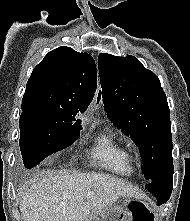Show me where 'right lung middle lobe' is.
<instances>
[{
    "label": "right lung middle lobe",
    "instance_id": "dd1d6c3e",
    "mask_svg": "<svg viewBox=\"0 0 190 221\" xmlns=\"http://www.w3.org/2000/svg\"><path fill=\"white\" fill-rule=\"evenodd\" d=\"M76 114L33 110L21 114L20 149L28 169L47 156L67 148L80 136Z\"/></svg>",
    "mask_w": 190,
    "mask_h": 221
}]
</instances>
